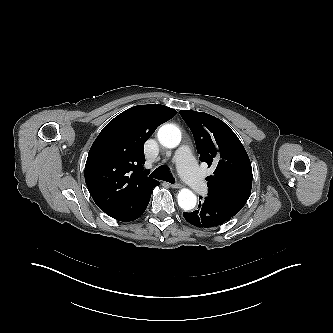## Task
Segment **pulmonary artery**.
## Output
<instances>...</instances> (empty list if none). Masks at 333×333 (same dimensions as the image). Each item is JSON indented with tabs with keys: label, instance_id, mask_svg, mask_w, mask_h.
I'll return each instance as SVG.
<instances>
[{
	"label": "pulmonary artery",
	"instance_id": "e3ab8cb5",
	"mask_svg": "<svg viewBox=\"0 0 333 333\" xmlns=\"http://www.w3.org/2000/svg\"><path fill=\"white\" fill-rule=\"evenodd\" d=\"M174 160L178 166L179 172L191 188L197 193H204L207 186L189 147H180L175 153Z\"/></svg>",
	"mask_w": 333,
	"mask_h": 333
}]
</instances>
